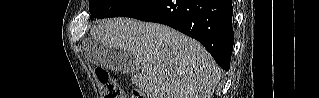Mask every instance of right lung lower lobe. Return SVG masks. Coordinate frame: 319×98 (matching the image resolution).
<instances>
[{"instance_id": "obj_1", "label": "right lung lower lobe", "mask_w": 319, "mask_h": 98, "mask_svg": "<svg viewBox=\"0 0 319 98\" xmlns=\"http://www.w3.org/2000/svg\"><path fill=\"white\" fill-rule=\"evenodd\" d=\"M170 26L202 43L225 71L233 50L231 0H146L120 15Z\"/></svg>"}]
</instances>
